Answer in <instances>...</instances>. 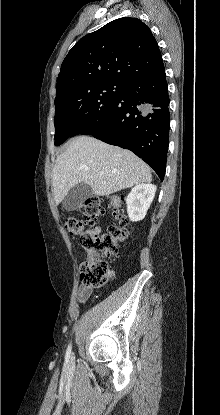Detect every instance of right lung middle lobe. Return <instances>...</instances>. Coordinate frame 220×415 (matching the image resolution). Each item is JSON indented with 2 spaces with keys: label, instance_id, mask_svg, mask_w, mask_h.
<instances>
[{
  "label": "right lung middle lobe",
  "instance_id": "dd1d6c3e",
  "mask_svg": "<svg viewBox=\"0 0 220 415\" xmlns=\"http://www.w3.org/2000/svg\"><path fill=\"white\" fill-rule=\"evenodd\" d=\"M125 83L73 85L55 98V146L78 134L89 135L105 123Z\"/></svg>",
  "mask_w": 220,
  "mask_h": 415
}]
</instances>
